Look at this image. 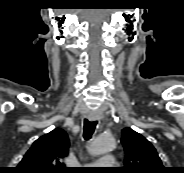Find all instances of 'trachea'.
<instances>
[{"label": "trachea", "mask_w": 184, "mask_h": 173, "mask_svg": "<svg viewBox=\"0 0 184 173\" xmlns=\"http://www.w3.org/2000/svg\"><path fill=\"white\" fill-rule=\"evenodd\" d=\"M97 125V121H84V128H83V137L85 140H88L91 138L92 134L95 131Z\"/></svg>", "instance_id": "obj_1"}]
</instances>
